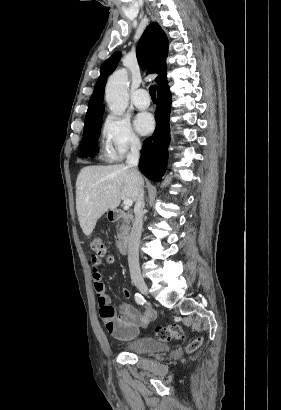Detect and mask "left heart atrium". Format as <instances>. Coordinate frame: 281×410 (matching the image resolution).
I'll return each instance as SVG.
<instances>
[{
    "instance_id": "39dd6f15",
    "label": "left heart atrium",
    "mask_w": 281,
    "mask_h": 410,
    "mask_svg": "<svg viewBox=\"0 0 281 410\" xmlns=\"http://www.w3.org/2000/svg\"><path fill=\"white\" fill-rule=\"evenodd\" d=\"M135 126L140 133L147 134L153 130L154 120L150 114L142 113L136 118Z\"/></svg>"
}]
</instances>
